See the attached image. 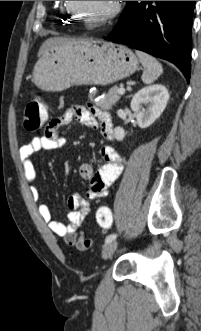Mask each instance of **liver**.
I'll return each instance as SVG.
<instances>
[{
	"label": "liver",
	"mask_w": 201,
	"mask_h": 331,
	"mask_svg": "<svg viewBox=\"0 0 201 331\" xmlns=\"http://www.w3.org/2000/svg\"><path fill=\"white\" fill-rule=\"evenodd\" d=\"M69 40H74V39H66V38H60V37H55V38H49L47 39L42 46L39 49V55H42L46 50L54 46L55 44L66 42Z\"/></svg>",
	"instance_id": "6515ba94"
}]
</instances>
